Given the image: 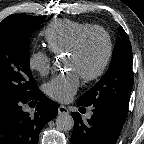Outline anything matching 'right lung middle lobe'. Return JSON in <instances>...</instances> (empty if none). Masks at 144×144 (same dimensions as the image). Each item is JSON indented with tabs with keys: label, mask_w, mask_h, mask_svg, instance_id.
Instances as JSON below:
<instances>
[{
	"label": "right lung middle lobe",
	"mask_w": 144,
	"mask_h": 144,
	"mask_svg": "<svg viewBox=\"0 0 144 144\" xmlns=\"http://www.w3.org/2000/svg\"><path fill=\"white\" fill-rule=\"evenodd\" d=\"M46 16L11 15L0 23V106L33 97L39 88L30 70L29 39Z\"/></svg>",
	"instance_id": "right-lung-middle-lobe-1"
}]
</instances>
